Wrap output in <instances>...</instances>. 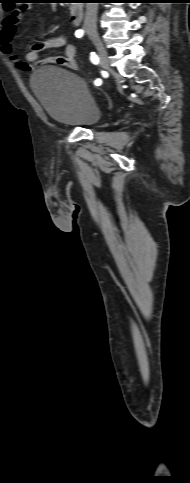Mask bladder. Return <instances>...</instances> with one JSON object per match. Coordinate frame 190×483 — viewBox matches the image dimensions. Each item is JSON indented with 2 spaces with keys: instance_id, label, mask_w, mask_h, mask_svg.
<instances>
[{
  "instance_id": "bladder-1",
  "label": "bladder",
  "mask_w": 190,
  "mask_h": 483,
  "mask_svg": "<svg viewBox=\"0 0 190 483\" xmlns=\"http://www.w3.org/2000/svg\"><path fill=\"white\" fill-rule=\"evenodd\" d=\"M35 97L55 120L90 127L102 112L84 80L72 70L61 66H45L31 77Z\"/></svg>"
}]
</instances>
